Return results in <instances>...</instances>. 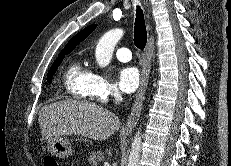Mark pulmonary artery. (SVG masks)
I'll return each mask as SVG.
<instances>
[{
  "label": "pulmonary artery",
  "mask_w": 231,
  "mask_h": 166,
  "mask_svg": "<svg viewBox=\"0 0 231 166\" xmlns=\"http://www.w3.org/2000/svg\"><path fill=\"white\" fill-rule=\"evenodd\" d=\"M116 57L122 62H128L131 60V51L126 47H121L116 51Z\"/></svg>",
  "instance_id": "pulmonary-artery-1"
}]
</instances>
